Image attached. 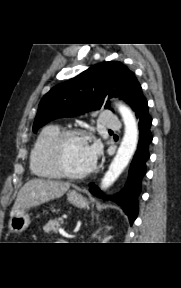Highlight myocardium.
<instances>
[{
	"label": "myocardium",
	"mask_w": 181,
	"mask_h": 288,
	"mask_svg": "<svg viewBox=\"0 0 181 288\" xmlns=\"http://www.w3.org/2000/svg\"><path fill=\"white\" fill-rule=\"evenodd\" d=\"M73 138H80L84 140H88L89 134L84 130L79 129H68L61 131L51 146V162L55 168V170L63 177L71 178V179H82L89 174H91L95 168L96 164L93 162L91 166L83 171V172H73L66 166L64 162V147L66 143Z\"/></svg>",
	"instance_id": "f54148a6"
}]
</instances>
